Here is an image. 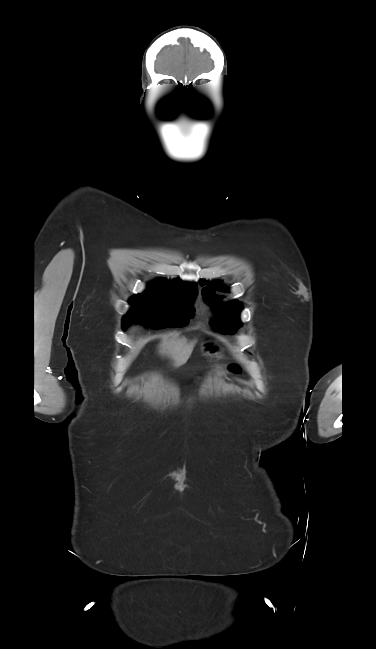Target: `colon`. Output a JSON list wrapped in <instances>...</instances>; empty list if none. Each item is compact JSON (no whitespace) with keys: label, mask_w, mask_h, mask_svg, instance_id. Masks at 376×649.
I'll return each mask as SVG.
<instances>
[{"label":"colon","mask_w":376,"mask_h":649,"mask_svg":"<svg viewBox=\"0 0 376 649\" xmlns=\"http://www.w3.org/2000/svg\"><path fill=\"white\" fill-rule=\"evenodd\" d=\"M229 369H230L233 373H239V372H240V367H239L238 365H236V364H232V365L229 367Z\"/></svg>","instance_id":"1"}]
</instances>
